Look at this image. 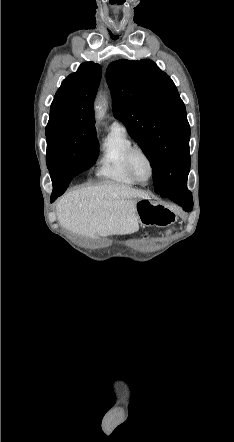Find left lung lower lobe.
Masks as SVG:
<instances>
[{"instance_id":"1","label":"left lung lower lobe","mask_w":234,"mask_h":442,"mask_svg":"<svg viewBox=\"0 0 234 442\" xmlns=\"http://www.w3.org/2000/svg\"><path fill=\"white\" fill-rule=\"evenodd\" d=\"M164 197H167L175 203L179 204L187 212L191 211L193 207L192 195L191 192L187 189V182L179 190L164 194Z\"/></svg>"}]
</instances>
